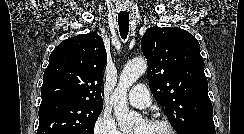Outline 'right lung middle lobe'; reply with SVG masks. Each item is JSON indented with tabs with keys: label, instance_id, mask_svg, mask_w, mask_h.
I'll list each match as a JSON object with an SVG mask.
<instances>
[{
	"label": "right lung middle lobe",
	"instance_id": "1",
	"mask_svg": "<svg viewBox=\"0 0 244 134\" xmlns=\"http://www.w3.org/2000/svg\"><path fill=\"white\" fill-rule=\"evenodd\" d=\"M103 105L51 99L41 102L37 134H93Z\"/></svg>",
	"mask_w": 244,
	"mask_h": 134
}]
</instances>
